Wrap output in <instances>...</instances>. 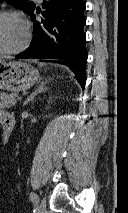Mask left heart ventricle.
Instances as JSON below:
<instances>
[{"instance_id": "obj_1", "label": "left heart ventricle", "mask_w": 128, "mask_h": 213, "mask_svg": "<svg viewBox=\"0 0 128 213\" xmlns=\"http://www.w3.org/2000/svg\"><path fill=\"white\" fill-rule=\"evenodd\" d=\"M25 36L23 24L15 17H0V49L8 50L18 47Z\"/></svg>"}]
</instances>
